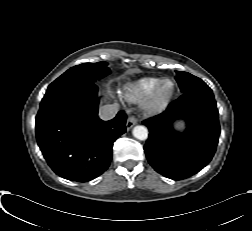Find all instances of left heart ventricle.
<instances>
[{
    "label": "left heart ventricle",
    "instance_id": "obj_1",
    "mask_svg": "<svg viewBox=\"0 0 252 231\" xmlns=\"http://www.w3.org/2000/svg\"><path fill=\"white\" fill-rule=\"evenodd\" d=\"M169 90H170V84H165L164 87H163V92L168 93Z\"/></svg>",
    "mask_w": 252,
    "mask_h": 231
}]
</instances>
